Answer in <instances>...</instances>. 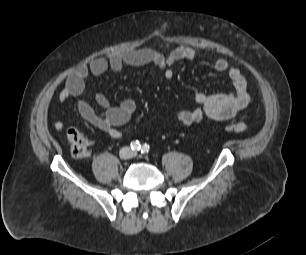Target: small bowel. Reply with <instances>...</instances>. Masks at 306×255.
I'll list each match as a JSON object with an SVG mask.
<instances>
[{"label":"small bowel","instance_id":"obj_1","mask_svg":"<svg viewBox=\"0 0 306 255\" xmlns=\"http://www.w3.org/2000/svg\"><path fill=\"white\" fill-rule=\"evenodd\" d=\"M198 55L194 48L180 46L169 54H164L153 48H140L113 53L107 58L97 57L88 64L78 66L68 76L59 99L61 102H65L71 97H80L84 92L85 80L89 75L100 76L109 69L117 72L126 66L152 65L162 73L164 79L169 80L173 77L175 67L179 62L193 60ZM213 67L217 72L225 73L228 76L234 91L217 94L197 93L195 95L196 106L177 113L176 118L181 125H193L200 122L205 116L217 121H227L234 118L249 104L248 83L242 72L237 68L230 67L224 58L216 59ZM95 100L100 110L85 100H79L77 108L80 115L111 138H120L122 131L119 127L127 123L135 113V102L131 99H124L118 105L110 106L109 100L104 94H98ZM54 128L60 131L64 128V123L56 121Z\"/></svg>","mask_w":306,"mask_h":255}]
</instances>
